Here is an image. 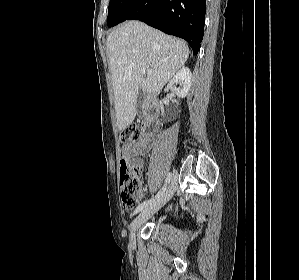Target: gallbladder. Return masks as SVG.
Wrapping results in <instances>:
<instances>
[{"label": "gallbladder", "mask_w": 299, "mask_h": 280, "mask_svg": "<svg viewBox=\"0 0 299 280\" xmlns=\"http://www.w3.org/2000/svg\"><path fill=\"white\" fill-rule=\"evenodd\" d=\"M144 100H145V94L143 92H140L137 97V113H138V115H141V106H142Z\"/></svg>", "instance_id": "obj_1"}]
</instances>
